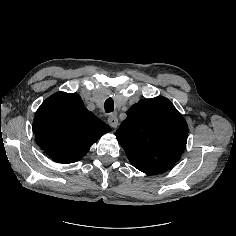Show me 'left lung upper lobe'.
Segmentation results:
<instances>
[{"instance_id": "left-lung-upper-lobe-1", "label": "left lung upper lobe", "mask_w": 236, "mask_h": 236, "mask_svg": "<svg viewBox=\"0 0 236 236\" xmlns=\"http://www.w3.org/2000/svg\"><path fill=\"white\" fill-rule=\"evenodd\" d=\"M188 126L165 97L143 99L131 106L116 131L130 163L146 174L169 170L187 142Z\"/></svg>"}]
</instances>
